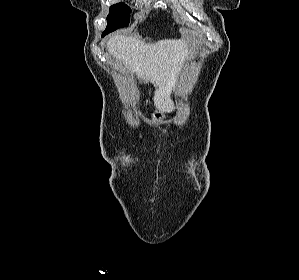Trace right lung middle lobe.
Instances as JSON below:
<instances>
[{"label":"right lung middle lobe","mask_w":299,"mask_h":280,"mask_svg":"<svg viewBox=\"0 0 299 280\" xmlns=\"http://www.w3.org/2000/svg\"><path fill=\"white\" fill-rule=\"evenodd\" d=\"M130 8L123 3H117L110 7L109 15L107 16V27L111 31L119 27H125L129 24Z\"/></svg>","instance_id":"dd1d6c3e"}]
</instances>
